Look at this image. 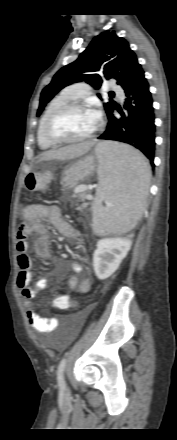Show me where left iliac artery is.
<instances>
[{"label": "left iliac artery", "mask_w": 177, "mask_h": 440, "mask_svg": "<svg viewBox=\"0 0 177 440\" xmlns=\"http://www.w3.org/2000/svg\"><path fill=\"white\" fill-rule=\"evenodd\" d=\"M65 365H66V358H63L57 370V381L60 389H65V380H64Z\"/></svg>", "instance_id": "obj_1"}]
</instances>
